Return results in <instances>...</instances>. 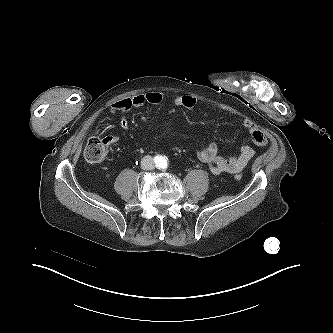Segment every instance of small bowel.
Returning a JSON list of instances; mask_svg holds the SVG:
<instances>
[{"label":"small bowel","mask_w":333,"mask_h":333,"mask_svg":"<svg viewBox=\"0 0 333 333\" xmlns=\"http://www.w3.org/2000/svg\"><path fill=\"white\" fill-rule=\"evenodd\" d=\"M164 99V95L160 91H151L145 94H139L130 98H123L111 105L110 112L112 114H120L119 124L127 130L130 127L126 114L128 111L135 107H141L145 104L158 105ZM175 106L184 107L187 109H193L197 100L192 95H180L173 101ZM142 121L146 123V118L143 117ZM243 128L249 133L251 141L257 146H266L268 141L264 133L258 128V126L249 119H245L242 122ZM117 137H114L116 140ZM254 156V150L248 145H243L239 152L230 157H224L219 155L218 146L215 142L208 143L204 148L198 151V159L205 163L210 171L219 175L222 173H238L241 172L250 162Z\"/></svg>","instance_id":"1"}]
</instances>
